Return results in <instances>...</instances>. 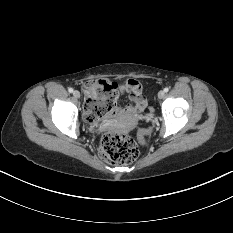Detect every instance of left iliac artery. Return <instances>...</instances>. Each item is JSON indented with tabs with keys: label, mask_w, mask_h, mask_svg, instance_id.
<instances>
[{
	"label": "left iliac artery",
	"mask_w": 233,
	"mask_h": 233,
	"mask_svg": "<svg viewBox=\"0 0 233 233\" xmlns=\"http://www.w3.org/2000/svg\"><path fill=\"white\" fill-rule=\"evenodd\" d=\"M168 91H169L168 87L164 88V92H168Z\"/></svg>",
	"instance_id": "1"
}]
</instances>
